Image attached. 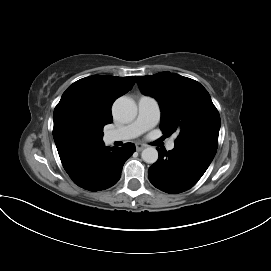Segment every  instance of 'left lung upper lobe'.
Segmentation results:
<instances>
[{"label":"left lung upper lobe","mask_w":271,"mask_h":271,"mask_svg":"<svg viewBox=\"0 0 271 271\" xmlns=\"http://www.w3.org/2000/svg\"><path fill=\"white\" fill-rule=\"evenodd\" d=\"M137 84L143 94L159 102L162 132L179 133L175 143L187 142L217 150L220 116L199 82L176 73L160 72L137 77Z\"/></svg>","instance_id":"obj_1"}]
</instances>
